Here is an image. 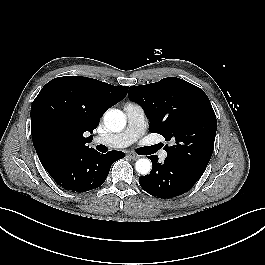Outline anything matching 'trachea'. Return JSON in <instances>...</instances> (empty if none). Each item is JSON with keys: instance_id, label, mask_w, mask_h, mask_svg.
Instances as JSON below:
<instances>
[{"instance_id": "trachea-1", "label": "trachea", "mask_w": 265, "mask_h": 265, "mask_svg": "<svg viewBox=\"0 0 265 265\" xmlns=\"http://www.w3.org/2000/svg\"><path fill=\"white\" fill-rule=\"evenodd\" d=\"M158 149H159L158 146L154 145V146H149V147H143V148H141L140 150H142V151H146V152H148V153H154V152H156Z\"/></svg>"}]
</instances>
